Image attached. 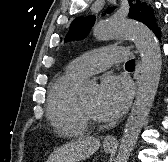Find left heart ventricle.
Listing matches in <instances>:
<instances>
[{
    "instance_id": "obj_1",
    "label": "left heart ventricle",
    "mask_w": 168,
    "mask_h": 162,
    "mask_svg": "<svg viewBox=\"0 0 168 162\" xmlns=\"http://www.w3.org/2000/svg\"><path fill=\"white\" fill-rule=\"evenodd\" d=\"M81 98L87 110L94 117L98 118L97 113H96L97 93L95 92L86 93L82 95Z\"/></svg>"
}]
</instances>
